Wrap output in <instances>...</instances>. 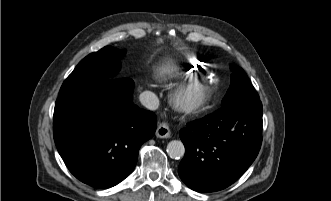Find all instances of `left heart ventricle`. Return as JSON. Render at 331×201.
I'll use <instances>...</instances> for the list:
<instances>
[{"instance_id": "1", "label": "left heart ventricle", "mask_w": 331, "mask_h": 201, "mask_svg": "<svg viewBox=\"0 0 331 201\" xmlns=\"http://www.w3.org/2000/svg\"><path fill=\"white\" fill-rule=\"evenodd\" d=\"M200 94V89L199 88H193L189 89L187 91H184L181 95L182 99L184 100H191L195 97H197Z\"/></svg>"}]
</instances>
